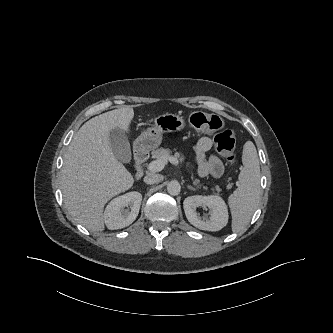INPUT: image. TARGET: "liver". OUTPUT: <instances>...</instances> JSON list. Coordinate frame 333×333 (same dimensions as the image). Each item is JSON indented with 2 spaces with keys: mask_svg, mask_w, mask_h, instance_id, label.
<instances>
[{
  "mask_svg": "<svg viewBox=\"0 0 333 333\" xmlns=\"http://www.w3.org/2000/svg\"><path fill=\"white\" fill-rule=\"evenodd\" d=\"M133 117V108L126 106L91 118L75 134L65 154L61 170L64 204L89 231L104 230L105 204L133 186V176L117 160L109 142L111 130L129 132Z\"/></svg>",
  "mask_w": 333,
  "mask_h": 333,
  "instance_id": "1",
  "label": "liver"
}]
</instances>
